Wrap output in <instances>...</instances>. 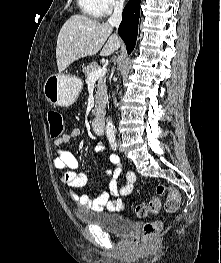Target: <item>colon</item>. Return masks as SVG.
<instances>
[{"label":"colon","mask_w":221,"mask_h":263,"mask_svg":"<svg viewBox=\"0 0 221 263\" xmlns=\"http://www.w3.org/2000/svg\"><path fill=\"white\" fill-rule=\"evenodd\" d=\"M47 119L49 123V133L51 138H58L63 134L64 124L63 118L60 112L56 110H50L47 113ZM167 195L164 208L167 212L173 213L178 210L180 206V194L174 189L167 187L163 184H159L156 187V194L146 203H139L135 207V214L144 218L150 213H156L161 207V197ZM160 229V223L158 221L147 222L143 226V237L146 240L153 238Z\"/></svg>","instance_id":"obj_1"}]
</instances>
